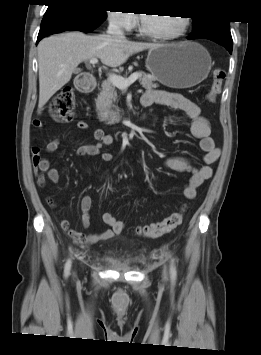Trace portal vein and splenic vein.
Here are the masks:
<instances>
[{"label": "portal vein and splenic vein", "instance_id": "portal-vein-and-splenic-vein-1", "mask_svg": "<svg viewBox=\"0 0 261 355\" xmlns=\"http://www.w3.org/2000/svg\"><path fill=\"white\" fill-rule=\"evenodd\" d=\"M98 63V59L97 58H91L90 59V64L95 65ZM140 77L139 73H133L132 75H130L127 79L116 75L114 73H109L108 74V80H110V82L116 86L117 88H119L120 90H126L132 83H134L138 78Z\"/></svg>", "mask_w": 261, "mask_h": 355}]
</instances>
